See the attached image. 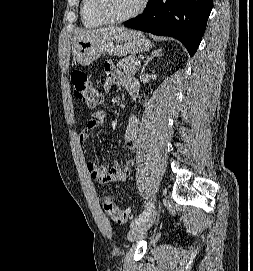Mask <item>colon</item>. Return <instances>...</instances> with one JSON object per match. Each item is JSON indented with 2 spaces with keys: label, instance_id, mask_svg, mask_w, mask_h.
I'll list each match as a JSON object with an SVG mask.
<instances>
[{
  "label": "colon",
  "instance_id": "colon-1",
  "mask_svg": "<svg viewBox=\"0 0 253 271\" xmlns=\"http://www.w3.org/2000/svg\"><path fill=\"white\" fill-rule=\"evenodd\" d=\"M71 82L75 96L87 104L90 108H96L102 102V95L94 86L88 75L83 71H74L71 76ZM103 208L109 217L118 224H124L130 221L129 211L120 209L114 200L108 196L103 199Z\"/></svg>",
  "mask_w": 253,
  "mask_h": 271
}]
</instances>
